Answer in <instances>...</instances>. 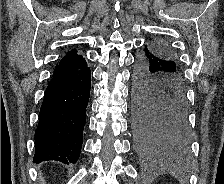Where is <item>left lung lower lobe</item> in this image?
Here are the masks:
<instances>
[{
  "label": "left lung lower lobe",
  "mask_w": 224,
  "mask_h": 184,
  "mask_svg": "<svg viewBox=\"0 0 224 184\" xmlns=\"http://www.w3.org/2000/svg\"><path fill=\"white\" fill-rule=\"evenodd\" d=\"M179 67L149 49L137 56L133 73V131L136 146L151 153L188 148L185 84Z\"/></svg>",
  "instance_id": "obj_1"
}]
</instances>
